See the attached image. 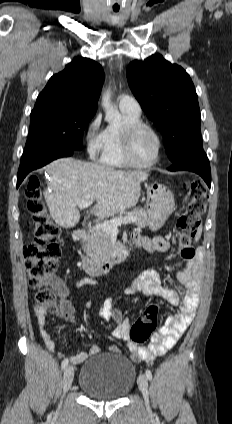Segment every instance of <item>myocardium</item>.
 I'll return each mask as SVG.
<instances>
[{"label":"myocardium","instance_id":"obj_1","mask_svg":"<svg viewBox=\"0 0 232 424\" xmlns=\"http://www.w3.org/2000/svg\"><path fill=\"white\" fill-rule=\"evenodd\" d=\"M142 129L149 130L155 137L157 142V149L155 157L148 163H138L132 157V143L135 135ZM162 139L157 130L148 123L137 121L134 123L126 124L122 129V152L126 163L135 168L145 169L156 165L160 159L162 151Z\"/></svg>","mask_w":232,"mask_h":424}]
</instances>
